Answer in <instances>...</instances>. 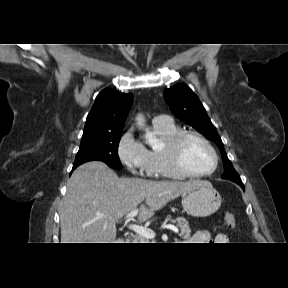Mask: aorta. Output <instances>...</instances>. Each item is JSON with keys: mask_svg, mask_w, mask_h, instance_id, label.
Wrapping results in <instances>:
<instances>
[{"mask_svg": "<svg viewBox=\"0 0 288 288\" xmlns=\"http://www.w3.org/2000/svg\"><path fill=\"white\" fill-rule=\"evenodd\" d=\"M138 122L141 124L143 122V119L142 118H138ZM150 145H153L154 142L152 140H148L147 141Z\"/></svg>", "mask_w": 288, "mask_h": 288, "instance_id": "1", "label": "aorta"}]
</instances>
